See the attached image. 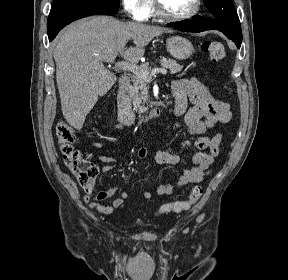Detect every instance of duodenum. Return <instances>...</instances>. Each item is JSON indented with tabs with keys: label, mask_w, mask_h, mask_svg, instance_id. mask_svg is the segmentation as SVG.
I'll return each instance as SVG.
<instances>
[{
	"label": "duodenum",
	"mask_w": 288,
	"mask_h": 280,
	"mask_svg": "<svg viewBox=\"0 0 288 280\" xmlns=\"http://www.w3.org/2000/svg\"><path fill=\"white\" fill-rule=\"evenodd\" d=\"M130 80L127 76H122L119 80V89H118V107H119V120L124 126H131L137 120L140 123H148L152 120L159 118L163 113H165L166 108L164 105H157L153 107L147 113L139 115L136 118L134 112L131 108L130 101ZM175 111V105L173 106V112Z\"/></svg>",
	"instance_id": "duodenum-1"
}]
</instances>
